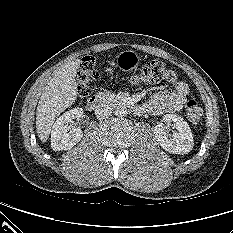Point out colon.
Listing matches in <instances>:
<instances>
[{
	"label": "colon",
	"mask_w": 233,
	"mask_h": 233,
	"mask_svg": "<svg viewBox=\"0 0 233 233\" xmlns=\"http://www.w3.org/2000/svg\"><path fill=\"white\" fill-rule=\"evenodd\" d=\"M95 63V58L92 56H86L81 61L77 75V90L80 97H86L89 94L92 82L99 75ZM131 79L135 83L159 84L174 82L177 75L168 65L155 60L139 68ZM185 113L192 124H197L202 116V110L195 100L187 102Z\"/></svg>",
	"instance_id": "1"
}]
</instances>
